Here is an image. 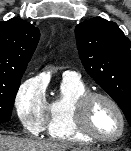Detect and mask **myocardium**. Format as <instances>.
<instances>
[{
	"instance_id": "f54148a6",
	"label": "myocardium",
	"mask_w": 131,
	"mask_h": 151,
	"mask_svg": "<svg viewBox=\"0 0 131 151\" xmlns=\"http://www.w3.org/2000/svg\"><path fill=\"white\" fill-rule=\"evenodd\" d=\"M98 100H102L110 104L119 117L120 130L119 133L114 137H102L96 134L90 126V111L92 105ZM74 119L76 127L81 134L93 141L100 143H114L118 141L123 136L126 129V119L121 106L114 98L101 92L87 91L82 96H80L75 103Z\"/></svg>"
}]
</instances>
